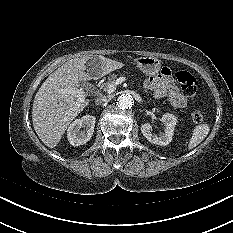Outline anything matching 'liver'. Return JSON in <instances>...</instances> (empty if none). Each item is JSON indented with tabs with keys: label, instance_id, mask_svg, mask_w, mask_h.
<instances>
[{
	"label": "liver",
	"instance_id": "1",
	"mask_svg": "<svg viewBox=\"0 0 233 233\" xmlns=\"http://www.w3.org/2000/svg\"><path fill=\"white\" fill-rule=\"evenodd\" d=\"M91 58L83 56L67 61L42 83L35 95L33 126L40 140L49 148L57 146L68 125L90 102L85 98L78 101L75 95L65 90H77L80 81L101 78L124 66L122 62L99 56L92 72L86 73L85 64Z\"/></svg>",
	"mask_w": 233,
	"mask_h": 233
}]
</instances>
